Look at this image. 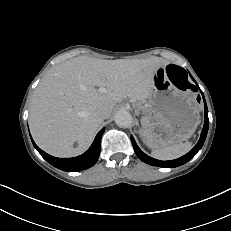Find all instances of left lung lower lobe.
Masks as SVG:
<instances>
[{
    "instance_id": "0a47b994",
    "label": "left lung lower lobe",
    "mask_w": 231,
    "mask_h": 231,
    "mask_svg": "<svg viewBox=\"0 0 231 231\" xmlns=\"http://www.w3.org/2000/svg\"><path fill=\"white\" fill-rule=\"evenodd\" d=\"M202 96H203L204 108H205L204 126H203V130L201 132V136H200L198 143L195 145V147L190 152H188L186 155H184L178 159H175V160L160 161V160L154 159V158L146 155L144 152H142V150L137 146L134 138L131 136L132 145H133V148L136 152V155L143 162L150 164V165H153V166H158V167H169V168L178 167V166L185 164L189 160H191L197 154V152L201 149V147L203 146L204 141H205L206 136H207L208 127H209L208 109H207V105H206L203 93H202Z\"/></svg>"
}]
</instances>
